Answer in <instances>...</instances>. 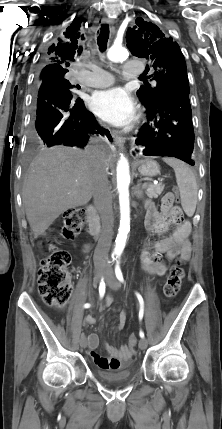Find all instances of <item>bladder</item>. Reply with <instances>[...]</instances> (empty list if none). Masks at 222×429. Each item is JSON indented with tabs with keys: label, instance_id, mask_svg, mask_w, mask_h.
Segmentation results:
<instances>
[{
	"label": "bladder",
	"instance_id": "31cf9c89",
	"mask_svg": "<svg viewBox=\"0 0 222 429\" xmlns=\"http://www.w3.org/2000/svg\"><path fill=\"white\" fill-rule=\"evenodd\" d=\"M96 377L106 383H123L131 379L133 370L127 368L118 372H106L101 369L95 371Z\"/></svg>",
	"mask_w": 222,
	"mask_h": 429
}]
</instances>
